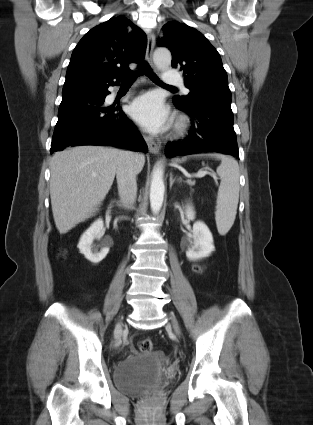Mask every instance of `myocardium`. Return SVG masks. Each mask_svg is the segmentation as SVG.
<instances>
[{"mask_svg":"<svg viewBox=\"0 0 313 425\" xmlns=\"http://www.w3.org/2000/svg\"><path fill=\"white\" fill-rule=\"evenodd\" d=\"M188 126V122L185 118H180L176 123V131L178 133H183Z\"/></svg>","mask_w":313,"mask_h":425,"instance_id":"1","label":"myocardium"}]
</instances>
